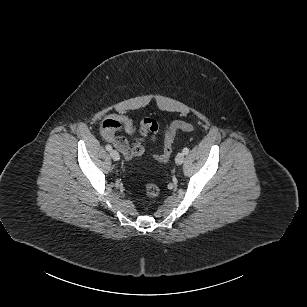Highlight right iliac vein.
<instances>
[{
    "mask_svg": "<svg viewBox=\"0 0 307 307\" xmlns=\"http://www.w3.org/2000/svg\"><path fill=\"white\" fill-rule=\"evenodd\" d=\"M110 156L114 161H118L120 159V155L116 150H111Z\"/></svg>",
    "mask_w": 307,
    "mask_h": 307,
    "instance_id": "obj_1",
    "label": "right iliac vein"
}]
</instances>
